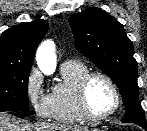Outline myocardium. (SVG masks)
<instances>
[{
	"mask_svg": "<svg viewBox=\"0 0 147 131\" xmlns=\"http://www.w3.org/2000/svg\"><path fill=\"white\" fill-rule=\"evenodd\" d=\"M94 78L104 79L110 85L114 94V99H115L114 106L109 112H107L104 115H94L91 113L88 107L87 90H88V86L90 82ZM77 105H78L80 114L85 120L90 122H102L112 117L118 111L121 105V95L115 81L109 75L99 71L88 72L81 78V80L78 83Z\"/></svg>",
	"mask_w": 147,
	"mask_h": 131,
	"instance_id": "myocardium-1",
	"label": "myocardium"
}]
</instances>
